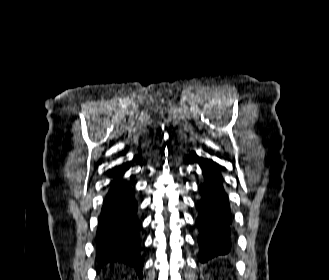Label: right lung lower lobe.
<instances>
[{"mask_svg":"<svg viewBox=\"0 0 329 280\" xmlns=\"http://www.w3.org/2000/svg\"><path fill=\"white\" fill-rule=\"evenodd\" d=\"M127 169L114 170L113 182L102 207L96 237V262L117 261L130 265L142 277L143 260L140 257L138 232L141 226L136 213L133 190L122 181ZM98 266V271L100 269Z\"/></svg>","mask_w":329,"mask_h":280,"instance_id":"right-lung-lower-lobe-1","label":"right lung lower lobe"}]
</instances>
